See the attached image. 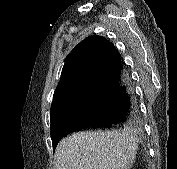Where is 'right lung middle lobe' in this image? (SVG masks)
<instances>
[{"instance_id": "1", "label": "right lung middle lobe", "mask_w": 177, "mask_h": 169, "mask_svg": "<svg viewBox=\"0 0 177 169\" xmlns=\"http://www.w3.org/2000/svg\"><path fill=\"white\" fill-rule=\"evenodd\" d=\"M89 99L90 87L89 82H86L76 88L71 94L53 104L50 113L51 136L61 120L78 114Z\"/></svg>"}]
</instances>
